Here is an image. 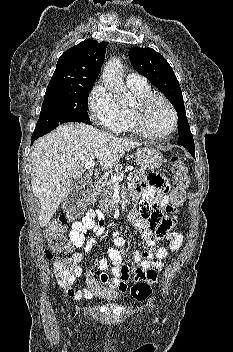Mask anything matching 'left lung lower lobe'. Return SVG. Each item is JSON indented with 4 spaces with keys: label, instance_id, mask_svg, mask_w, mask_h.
<instances>
[{
    "label": "left lung lower lobe",
    "instance_id": "1",
    "mask_svg": "<svg viewBox=\"0 0 233 352\" xmlns=\"http://www.w3.org/2000/svg\"><path fill=\"white\" fill-rule=\"evenodd\" d=\"M190 154L195 158V148H187Z\"/></svg>",
    "mask_w": 233,
    "mask_h": 352
}]
</instances>
